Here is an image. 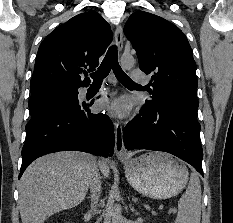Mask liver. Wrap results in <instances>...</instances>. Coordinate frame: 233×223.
<instances>
[{
  "label": "liver",
  "instance_id": "6515ba94",
  "mask_svg": "<svg viewBox=\"0 0 233 223\" xmlns=\"http://www.w3.org/2000/svg\"><path fill=\"white\" fill-rule=\"evenodd\" d=\"M96 159L82 151H58L35 159L19 183L18 205L22 223H44L61 209L83 201ZM104 177L110 169L106 159L98 161Z\"/></svg>",
  "mask_w": 233,
  "mask_h": 223
}]
</instances>
